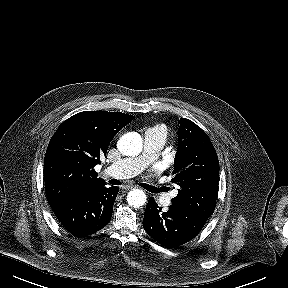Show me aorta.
<instances>
[{
	"label": "aorta",
	"mask_w": 288,
	"mask_h": 288,
	"mask_svg": "<svg viewBox=\"0 0 288 288\" xmlns=\"http://www.w3.org/2000/svg\"><path fill=\"white\" fill-rule=\"evenodd\" d=\"M118 150L126 156H137L143 147L141 136L136 132L124 134L117 143ZM127 202L131 207L139 208L146 202L143 190L133 189L127 195Z\"/></svg>",
	"instance_id": "obj_1"
}]
</instances>
